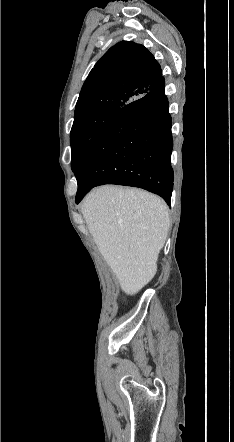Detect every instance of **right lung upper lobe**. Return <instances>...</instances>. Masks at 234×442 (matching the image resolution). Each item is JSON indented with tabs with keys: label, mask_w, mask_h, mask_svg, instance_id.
Wrapping results in <instances>:
<instances>
[{
	"label": "right lung upper lobe",
	"mask_w": 234,
	"mask_h": 442,
	"mask_svg": "<svg viewBox=\"0 0 234 442\" xmlns=\"http://www.w3.org/2000/svg\"><path fill=\"white\" fill-rule=\"evenodd\" d=\"M161 78L159 63L143 45L119 42L89 73L76 104L74 121L104 110H119L145 95Z\"/></svg>",
	"instance_id": "1"
}]
</instances>
